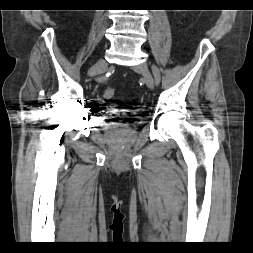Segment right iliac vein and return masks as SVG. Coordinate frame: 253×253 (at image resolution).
I'll return each instance as SVG.
<instances>
[{
  "label": "right iliac vein",
  "instance_id": "63e3f726",
  "mask_svg": "<svg viewBox=\"0 0 253 253\" xmlns=\"http://www.w3.org/2000/svg\"><path fill=\"white\" fill-rule=\"evenodd\" d=\"M107 64L103 58H100L90 69L89 75L96 76L105 72Z\"/></svg>",
  "mask_w": 253,
  "mask_h": 253
}]
</instances>
